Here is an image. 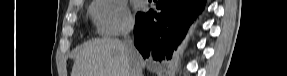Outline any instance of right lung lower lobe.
I'll return each mask as SVG.
<instances>
[{"label":"right lung lower lobe","instance_id":"obj_1","mask_svg":"<svg viewBox=\"0 0 287 76\" xmlns=\"http://www.w3.org/2000/svg\"><path fill=\"white\" fill-rule=\"evenodd\" d=\"M206 0H159L160 13H137L135 46L144 58L161 61L172 57L173 50L200 14Z\"/></svg>","mask_w":287,"mask_h":76}]
</instances>
